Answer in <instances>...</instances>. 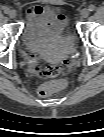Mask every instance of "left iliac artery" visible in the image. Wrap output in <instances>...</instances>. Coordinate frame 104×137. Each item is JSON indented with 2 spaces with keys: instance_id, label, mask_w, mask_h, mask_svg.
Wrapping results in <instances>:
<instances>
[{
  "instance_id": "obj_1",
  "label": "left iliac artery",
  "mask_w": 104,
  "mask_h": 137,
  "mask_svg": "<svg viewBox=\"0 0 104 137\" xmlns=\"http://www.w3.org/2000/svg\"><path fill=\"white\" fill-rule=\"evenodd\" d=\"M95 10V6L94 5H90L89 6V11H94Z\"/></svg>"
}]
</instances>
